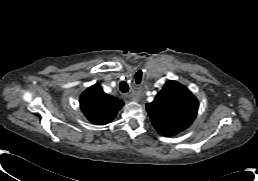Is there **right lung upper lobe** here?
<instances>
[{
    "instance_id": "obj_1",
    "label": "right lung upper lobe",
    "mask_w": 258,
    "mask_h": 181,
    "mask_svg": "<svg viewBox=\"0 0 258 181\" xmlns=\"http://www.w3.org/2000/svg\"><path fill=\"white\" fill-rule=\"evenodd\" d=\"M124 102L103 92L98 84L87 88L80 97V107L87 119L104 125L111 122Z\"/></svg>"
}]
</instances>
